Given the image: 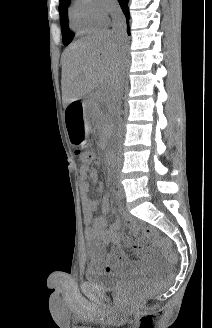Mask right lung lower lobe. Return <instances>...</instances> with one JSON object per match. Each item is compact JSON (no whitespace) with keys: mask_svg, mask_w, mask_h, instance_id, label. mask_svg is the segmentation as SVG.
<instances>
[{"mask_svg":"<svg viewBox=\"0 0 212 328\" xmlns=\"http://www.w3.org/2000/svg\"><path fill=\"white\" fill-rule=\"evenodd\" d=\"M119 1V4L121 6V9L124 13V15L126 16V20H127V23L129 24V18H130V14H129V10H128V7H127V4H128V1L129 0H118ZM128 34H130V29L128 27V30H127Z\"/></svg>","mask_w":212,"mask_h":328,"instance_id":"98d812e1","label":"right lung lower lobe"}]
</instances>
